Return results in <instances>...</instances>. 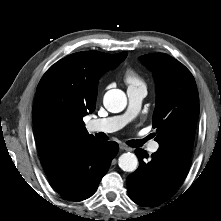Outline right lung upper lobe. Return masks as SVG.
<instances>
[{
  "label": "right lung upper lobe",
  "mask_w": 221,
  "mask_h": 221,
  "mask_svg": "<svg viewBox=\"0 0 221 221\" xmlns=\"http://www.w3.org/2000/svg\"><path fill=\"white\" fill-rule=\"evenodd\" d=\"M126 56L127 52H78L48 69L37 87L32 109L40 157L95 138L87 132L83 117L95 110L99 78Z\"/></svg>",
  "instance_id": "obj_1"
}]
</instances>
